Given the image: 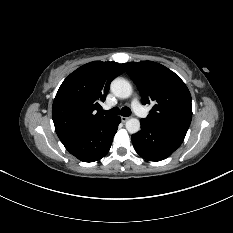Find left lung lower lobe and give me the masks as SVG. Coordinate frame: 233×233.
Masks as SVG:
<instances>
[{"label":"left lung lower lobe","instance_id":"obj_1","mask_svg":"<svg viewBox=\"0 0 233 233\" xmlns=\"http://www.w3.org/2000/svg\"><path fill=\"white\" fill-rule=\"evenodd\" d=\"M186 134L141 120V131L131 137L136 152L149 161L169 157L183 142Z\"/></svg>","mask_w":233,"mask_h":233}]
</instances>
